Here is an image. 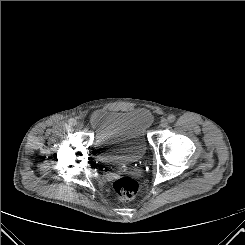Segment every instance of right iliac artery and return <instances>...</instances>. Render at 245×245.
<instances>
[{
  "instance_id": "82829eb1",
  "label": "right iliac artery",
  "mask_w": 245,
  "mask_h": 245,
  "mask_svg": "<svg viewBox=\"0 0 245 245\" xmlns=\"http://www.w3.org/2000/svg\"><path fill=\"white\" fill-rule=\"evenodd\" d=\"M68 124L71 125V126L75 125V124H76V119L70 118V119L68 120Z\"/></svg>"
}]
</instances>
